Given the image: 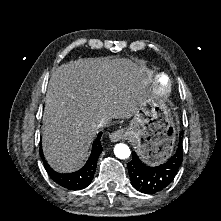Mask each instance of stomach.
Masks as SVG:
<instances>
[{
  "instance_id": "1",
  "label": "stomach",
  "mask_w": 221,
  "mask_h": 221,
  "mask_svg": "<svg viewBox=\"0 0 221 221\" xmlns=\"http://www.w3.org/2000/svg\"><path fill=\"white\" fill-rule=\"evenodd\" d=\"M138 154L147 163H160L172 152L175 142V123L170 108L141 101L127 128Z\"/></svg>"
}]
</instances>
